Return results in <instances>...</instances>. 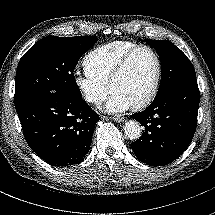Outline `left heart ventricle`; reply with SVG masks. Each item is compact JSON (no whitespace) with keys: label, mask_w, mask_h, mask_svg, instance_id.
<instances>
[{"label":"left heart ventricle","mask_w":215,"mask_h":215,"mask_svg":"<svg viewBox=\"0 0 215 215\" xmlns=\"http://www.w3.org/2000/svg\"><path fill=\"white\" fill-rule=\"evenodd\" d=\"M155 69L152 54L145 49L137 51L125 71L111 85V92L120 93L130 101L131 105L139 103L152 85Z\"/></svg>","instance_id":"1"}]
</instances>
